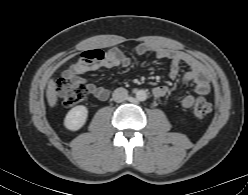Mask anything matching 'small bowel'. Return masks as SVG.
<instances>
[{
	"label": "small bowel",
	"instance_id": "c3829d8e",
	"mask_svg": "<svg viewBox=\"0 0 248 195\" xmlns=\"http://www.w3.org/2000/svg\"><path fill=\"white\" fill-rule=\"evenodd\" d=\"M134 52L136 55L154 53L158 58L168 59L170 61L169 76L172 79L179 76L180 65L182 63L187 64L189 69L182 76V83H193L195 85V93L198 96H206L209 94L211 89L209 73L202 64L194 58L153 43H142L136 47ZM131 63V57L118 48H110L105 51L94 48L85 51L77 62L70 65L63 72V75L67 79L86 84L90 94H92L96 99L104 101L109 97V90L93 83H86L81 75L102 68L119 66L126 68L129 67ZM167 91L168 89L166 86H157L153 89V95L155 98L160 99L166 95ZM194 102L195 96L192 94H187L181 98V105L185 108H190Z\"/></svg>",
	"mask_w": 248,
	"mask_h": 195
}]
</instances>
